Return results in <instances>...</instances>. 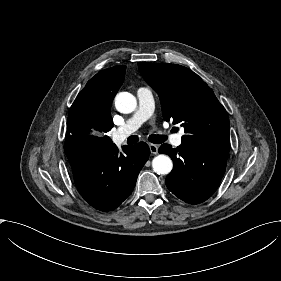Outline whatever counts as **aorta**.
Instances as JSON below:
<instances>
[{
  "label": "aorta",
  "instance_id": "1",
  "mask_svg": "<svg viewBox=\"0 0 281 281\" xmlns=\"http://www.w3.org/2000/svg\"><path fill=\"white\" fill-rule=\"evenodd\" d=\"M115 107L120 113L128 114L137 107V100L129 92H120L115 98ZM152 168L157 174L166 175L172 171L173 162L167 155L160 154L152 160Z\"/></svg>",
  "mask_w": 281,
  "mask_h": 281
}]
</instances>
